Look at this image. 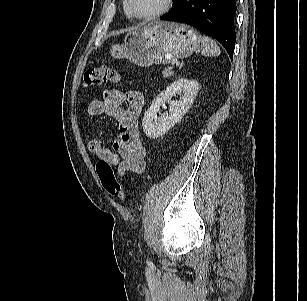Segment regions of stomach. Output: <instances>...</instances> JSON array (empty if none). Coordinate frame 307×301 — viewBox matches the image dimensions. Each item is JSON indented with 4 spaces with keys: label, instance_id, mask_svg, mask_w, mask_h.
I'll return each instance as SVG.
<instances>
[{
    "label": "stomach",
    "instance_id": "1",
    "mask_svg": "<svg viewBox=\"0 0 307 301\" xmlns=\"http://www.w3.org/2000/svg\"><path fill=\"white\" fill-rule=\"evenodd\" d=\"M200 41L199 33L188 25L158 21L130 32L123 44L112 45L110 53L146 67L189 57Z\"/></svg>",
    "mask_w": 307,
    "mask_h": 301
}]
</instances>
